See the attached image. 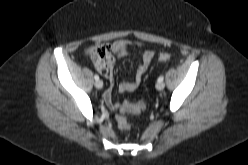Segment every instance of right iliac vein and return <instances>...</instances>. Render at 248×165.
Instances as JSON below:
<instances>
[{
	"label": "right iliac vein",
	"instance_id": "right-iliac-vein-1",
	"mask_svg": "<svg viewBox=\"0 0 248 165\" xmlns=\"http://www.w3.org/2000/svg\"><path fill=\"white\" fill-rule=\"evenodd\" d=\"M95 87L97 89H101L103 87V82L101 80H96L95 81Z\"/></svg>",
	"mask_w": 248,
	"mask_h": 165
}]
</instances>
